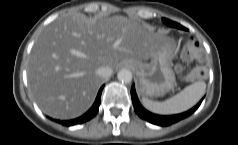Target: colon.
Instances as JSON below:
<instances>
[{
	"mask_svg": "<svg viewBox=\"0 0 238 145\" xmlns=\"http://www.w3.org/2000/svg\"><path fill=\"white\" fill-rule=\"evenodd\" d=\"M182 58L186 61L200 62L204 59V51L200 43L196 40L188 41L182 50ZM207 76V71L203 67H196L189 75L188 80L197 81L202 80Z\"/></svg>",
	"mask_w": 238,
	"mask_h": 145,
	"instance_id": "colon-1",
	"label": "colon"
}]
</instances>
